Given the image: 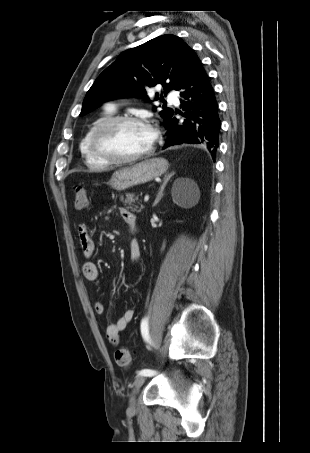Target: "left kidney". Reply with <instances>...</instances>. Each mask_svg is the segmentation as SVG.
Instances as JSON below:
<instances>
[{
  "instance_id": "1",
  "label": "left kidney",
  "mask_w": 310,
  "mask_h": 453,
  "mask_svg": "<svg viewBox=\"0 0 310 453\" xmlns=\"http://www.w3.org/2000/svg\"><path fill=\"white\" fill-rule=\"evenodd\" d=\"M195 190L196 189L193 186L189 187V189L186 191V194L189 195V194L193 193ZM176 201L179 202V203H182V202L185 201V199L184 198H182V199L178 198V199H176Z\"/></svg>"
}]
</instances>
